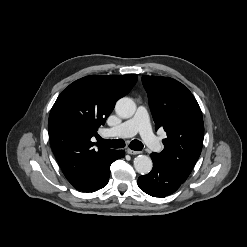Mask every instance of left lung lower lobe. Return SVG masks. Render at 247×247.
<instances>
[{"label":"left lung lower lobe","instance_id":"left-lung-lower-lobe-1","mask_svg":"<svg viewBox=\"0 0 247 247\" xmlns=\"http://www.w3.org/2000/svg\"><path fill=\"white\" fill-rule=\"evenodd\" d=\"M153 169L138 178V186L145 193L153 197L164 198L173 193L187 179L189 175L182 173L171 164L161 161L151 154Z\"/></svg>","mask_w":247,"mask_h":247}]
</instances>
